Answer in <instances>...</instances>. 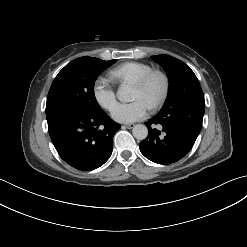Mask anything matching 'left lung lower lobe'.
I'll return each instance as SVG.
<instances>
[{"label": "left lung lower lobe", "mask_w": 247, "mask_h": 247, "mask_svg": "<svg viewBox=\"0 0 247 247\" xmlns=\"http://www.w3.org/2000/svg\"><path fill=\"white\" fill-rule=\"evenodd\" d=\"M205 104L187 103L158 113L146 122L148 136L140 142L141 153L158 164L183 158L193 147L202 127ZM159 128H153V125Z\"/></svg>", "instance_id": "1"}]
</instances>
